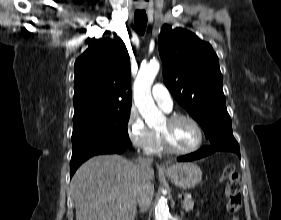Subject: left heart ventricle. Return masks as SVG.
Here are the masks:
<instances>
[{"instance_id":"1","label":"left heart ventricle","mask_w":281,"mask_h":220,"mask_svg":"<svg viewBox=\"0 0 281 220\" xmlns=\"http://www.w3.org/2000/svg\"><path fill=\"white\" fill-rule=\"evenodd\" d=\"M158 131L166 133L171 145L179 150L192 148L198 140L196 128L187 120H180L173 124L165 120Z\"/></svg>"}]
</instances>
